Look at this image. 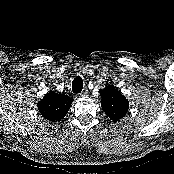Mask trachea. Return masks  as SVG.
Returning <instances> with one entry per match:
<instances>
[{
	"instance_id": "1",
	"label": "trachea",
	"mask_w": 174,
	"mask_h": 174,
	"mask_svg": "<svg viewBox=\"0 0 174 174\" xmlns=\"http://www.w3.org/2000/svg\"><path fill=\"white\" fill-rule=\"evenodd\" d=\"M83 89V80L81 77H76L72 82V91L73 93H81Z\"/></svg>"
}]
</instances>
